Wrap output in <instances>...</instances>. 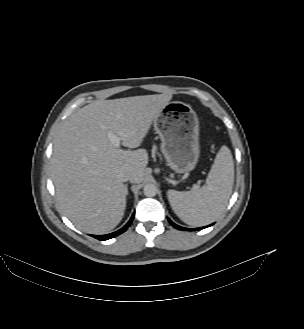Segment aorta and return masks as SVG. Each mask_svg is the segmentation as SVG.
Returning a JSON list of instances; mask_svg holds the SVG:
<instances>
[{"instance_id": "762f6f07", "label": "aorta", "mask_w": 304, "mask_h": 329, "mask_svg": "<svg viewBox=\"0 0 304 329\" xmlns=\"http://www.w3.org/2000/svg\"><path fill=\"white\" fill-rule=\"evenodd\" d=\"M144 195L154 197L157 194V187L154 184H146L143 188Z\"/></svg>"}]
</instances>
